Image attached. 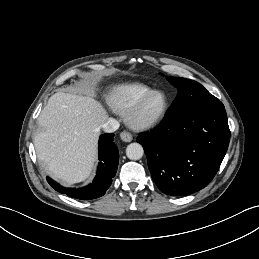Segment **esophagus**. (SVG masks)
Here are the masks:
<instances>
[{
	"mask_svg": "<svg viewBox=\"0 0 259 259\" xmlns=\"http://www.w3.org/2000/svg\"><path fill=\"white\" fill-rule=\"evenodd\" d=\"M120 138L124 141V142H131L133 139V136L129 133V132H121L120 134Z\"/></svg>",
	"mask_w": 259,
	"mask_h": 259,
	"instance_id": "obj_1",
	"label": "esophagus"
}]
</instances>
